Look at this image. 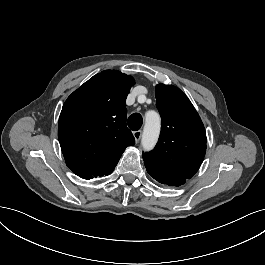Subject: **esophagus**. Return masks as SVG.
<instances>
[{"label": "esophagus", "instance_id": "1", "mask_svg": "<svg viewBox=\"0 0 265 265\" xmlns=\"http://www.w3.org/2000/svg\"><path fill=\"white\" fill-rule=\"evenodd\" d=\"M136 142H139L142 136V130H137L133 132Z\"/></svg>", "mask_w": 265, "mask_h": 265}]
</instances>
